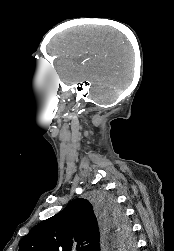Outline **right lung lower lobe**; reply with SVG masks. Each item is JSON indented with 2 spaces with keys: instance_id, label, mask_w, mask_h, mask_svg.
Returning a JSON list of instances; mask_svg holds the SVG:
<instances>
[{
  "instance_id": "obj_1",
  "label": "right lung lower lobe",
  "mask_w": 174,
  "mask_h": 251,
  "mask_svg": "<svg viewBox=\"0 0 174 251\" xmlns=\"http://www.w3.org/2000/svg\"><path fill=\"white\" fill-rule=\"evenodd\" d=\"M103 229L105 231L104 233V237H103V240H102V249H105L106 248V243L108 242V237L110 236V232L107 231V229L104 227L103 225Z\"/></svg>"
}]
</instances>
